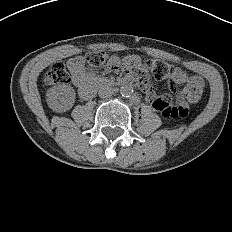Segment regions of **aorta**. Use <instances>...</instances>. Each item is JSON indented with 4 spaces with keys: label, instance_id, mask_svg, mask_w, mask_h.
Returning a JSON list of instances; mask_svg holds the SVG:
<instances>
[{
    "label": "aorta",
    "instance_id": "aorta-1",
    "mask_svg": "<svg viewBox=\"0 0 232 232\" xmlns=\"http://www.w3.org/2000/svg\"><path fill=\"white\" fill-rule=\"evenodd\" d=\"M120 94L123 96V97H130L132 96L133 94V87L131 85H123L121 88H120Z\"/></svg>",
    "mask_w": 232,
    "mask_h": 232
}]
</instances>
